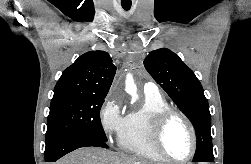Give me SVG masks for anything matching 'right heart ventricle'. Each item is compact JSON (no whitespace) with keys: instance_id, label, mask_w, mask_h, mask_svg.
<instances>
[{"instance_id":"right-heart-ventricle-1","label":"right heart ventricle","mask_w":251,"mask_h":164,"mask_svg":"<svg viewBox=\"0 0 251 164\" xmlns=\"http://www.w3.org/2000/svg\"><path fill=\"white\" fill-rule=\"evenodd\" d=\"M169 108L170 105L161 95L145 94L142 106L125 116L118 136L120 149L140 158L157 162L165 161L153 146L151 131L155 116Z\"/></svg>"}]
</instances>
